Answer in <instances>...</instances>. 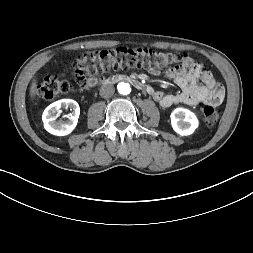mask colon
Listing matches in <instances>:
<instances>
[{
  "instance_id": "colon-1",
  "label": "colon",
  "mask_w": 253,
  "mask_h": 253,
  "mask_svg": "<svg viewBox=\"0 0 253 253\" xmlns=\"http://www.w3.org/2000/svg\"><path fill=\"white\" fill-rule=\"evenodd\" d=\"M186 58L184 54L148 50L116 48L102 51L87 52L72 64L77 84L87 87L92 84L99 86L104 81V73L111 69H128L131 67H165L168 64H177ZM71 90L68 81L60 80L56 76H45L35 88L36 94L45 100H50ZM205 121L209 125H215L220 117L219 110L213 104H207L203 108Z\"/></svg>"
}]
</instances>
